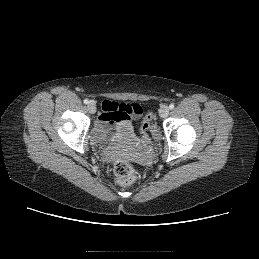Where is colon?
Segmentation results:
<instances>
[{
	"mask_svg": "<svg viewBox=\"0 0 259 259\" xmlns=\"http://www.w3.org/2000/svg\"><path fill=\"white\" fill-rule=\"evenodd\" d=\"M154 116L152 113H148L142 121L141 134L144 142L148 143L149 131L152 127ZM114 173L116 175V181L119 185H129L133 183L138 176L136 169L125 160H117L114 163Z\"/></svg>",
	"mask_w": 259,
	"mask_h": 259,
	"instance_id": "1",
	"label": "colon"
}]
</instances>
